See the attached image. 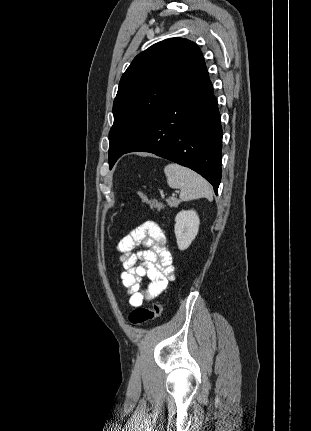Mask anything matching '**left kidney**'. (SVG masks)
I'll list each match as a JSON object with an SVG mask.
<instances>
[{"label": "left kidney", "instance_id": "5707ae66", "mask_svg": "<svg viewBox=\"0 0 311 431\" xmlns=\"http://www.w3.org/2000/svg\"><path fill=\"white\" fill-rule=\"evenodd\" d=\"M174 231L179 249H187L191 241L195 239L200 219L194 210H182L175 216Z\"/></svg>", "mask_w": 311, "mask_h": 431}]
</instances>
